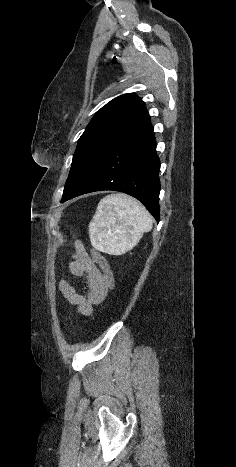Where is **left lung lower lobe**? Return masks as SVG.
Segmentation results:
<instances>
[{"label":"left lung lower lobe","mask_w":236,"mask_h":467,"mask_svg":"<svg viewBox=\"0 0 236 467\" xmlns=\"http://www.w3.org/2000/svg\"><path fill=\"white\" fill-rule=\"evenodd\" d=\"M149 114L122 134L107 150L87 181L67 201L82 194L114 190L138 199L160 220V159Z\"/></svg>","instance_id":"1"}]
</instances>
